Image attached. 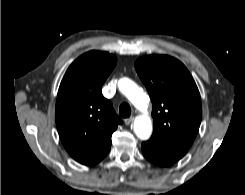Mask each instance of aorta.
Masks as SVG:
<instances>
[{"label":"aorta","instance_id":"obj_1","mask_svg":"<svg viewBox=\"0 0 245 195\" xmlns=\"http://www.w3.org/2000/svg\"><path fill=\"white\" fill-rule=\"evenodd\" d=\"M118 87L137 109L141 111L147 109L149 98L133 81L123 78L119 81ZM134 132L138 138L148 139L152 133L151 119L145 115L138 116L134 121Z\"/></svg>","mask_w":245,"mask_h":195}]
</instances>
